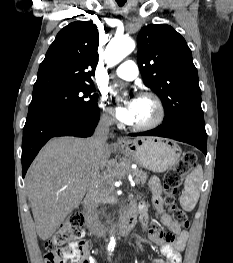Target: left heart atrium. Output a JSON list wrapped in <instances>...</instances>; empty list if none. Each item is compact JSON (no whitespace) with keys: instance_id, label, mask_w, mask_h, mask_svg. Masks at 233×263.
I'll return each mask as SVG.
<instances>
[{"instance_id":"obj_1","label":"left heart atrium","mask_w":233,"mask_h":263,"mask_svg":"<svg viewBox=\"0 0 233 263\" xmlns=\"http://www.w3.org/2000/svg\"><path fill=\"white\" fill-rule=\"evenodd\" d=\"M139 98L131 97L115 108L116 117L125 124L133 125L138 112Z\"/></svg>"}]
</instances>
